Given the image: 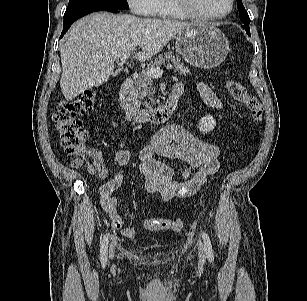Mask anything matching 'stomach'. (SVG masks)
<instances>
[{
  "label": "stomach",
  "mask_w": 307,
  "mask_h": 301,
  "mask_svg": "<svg viewBox=\"0 0 307 301\" xmlns=\"http://www.w3.org/2000/svg\"><path fill=\"white\" fill-rule=\"evenodd\" d=\"M176 50L187 63L209 69L224 61L229 51V42L216 27L195 24L177 34Z\"/></svg>",
  "instance_id": "stomach-1"
}]
</instances>
